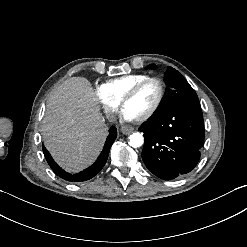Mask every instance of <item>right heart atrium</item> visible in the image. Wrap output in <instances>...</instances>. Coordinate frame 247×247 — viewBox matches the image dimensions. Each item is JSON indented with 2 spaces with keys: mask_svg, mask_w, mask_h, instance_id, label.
Masks as SVG:
<instances>
[{
  "mask_svg": "<svg viewBox=\"0 0 247 247\" xmlns=\"http://www.w3.org/2000/svg\"><path fill=\"white\" fill-rule=\"evenodd\" d=\"M96 98V101L99 105L103 106L102 110L108 114L116 110L117 104L110 101L109 96L107 95V91L104 87L99 86L94 91ZM119 104V103H118Z\"/></svg>",
  "mask_w": 247,
  "mask_h": 247,
  "instance_id": "d8ad5b80",
  "label": "right heart atrium"
}]
</instances>
